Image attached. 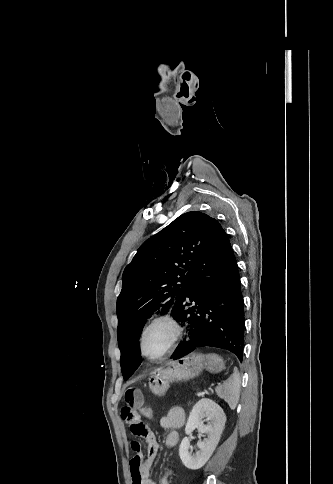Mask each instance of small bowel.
<instances>
[{
    "instance_id": "obj_1",
    "label": "small bowel",
    "mask_w": 333,
    "mask_h": 484,
    "mask_svg": "<svg viewBox=\"0 0 333 484\" xmlns=\"http://www.w3.org/2000/svg\"><path fill=\"white\" fill-rule=\"evenodd\" d=\"M144 405L142 392L130 387L124 393V406L121 409L122 419L129 424L131 432L136 437L143 438L147 443V455L144 457L140 445L134 441L131 447L135 452L130 461V471L133 484H156L151 477L153 465L156 461L160 448L156 434L142 421L141 410ZM185 412L181 407H172L168 413L160 419V425L169 430L165 444L168 448L176 447L180 442L179 429L184 425ZM171 471L162 479L161 484H170Z\"/></svg>"
}]
</instances>
